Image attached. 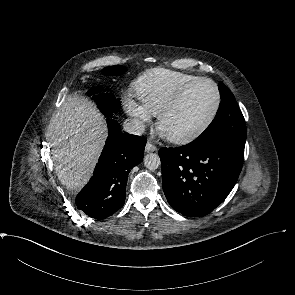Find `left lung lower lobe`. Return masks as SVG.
Listing matches in <instances>:
<instances>
[{
    "mask_svg": "<svg viewBox=\"0 0 295 295\" xmlns=\"http://www.w3.org/2000/svg\"><path fill=\"white\" fill-rule=\"evenodd\" d=\"M162 183L174 210L188 217L210 213L233 189L244 147L224 140L161 148Z\"/></svg>",
    "mask_w": 295,
    "mask_h": 295,
    "instance_id": "obj_1",
    "label": "left lung lower lobe"
}]
</instances>
